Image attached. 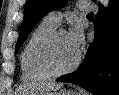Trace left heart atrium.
<instances>
[{
	"mask_svg": "<svg viewBox=\"0 0 119 95\" xmlns=\"http://www.w3.org/2000/svg\"><path fill=\"white\" fill-rule=\"evenodd\" d=\"M68 37L75 50L79 52L83 43V33L81 27L79 25H75L68 33Z\"/></svg>",
	"mask_w": 119,
	"mask_h": 95,
	"instance_id": "obj_1",
	"label": "left heart atrium"
}]
</instances>
